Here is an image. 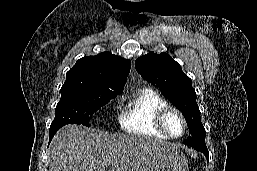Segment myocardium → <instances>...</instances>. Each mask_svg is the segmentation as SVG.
<instances>
[{
  "mask_svg": "<svg viewBox=\"0 0 257 171\" xmlns=\"http://www.w3.org/2000/svg\"><path fill=\"white\" fill-rule=\"evenodd\" d=\"M171 112L178 114V116L180 117V119L182 120V123H183V132L178 136L172 135L166 127V123H165L166 117ZM156 127L168 138L179 139L186 134L187 129H188V123H187L185 115L183 114V112L180 109H178L174 106L167 105L166 107L162 108L158 112V114L156 116Z\"/></svg>",
  "mask_w": 257,
  "mask_h": 171,
  "instance_id": "f54148a6",
  "label": "myocardium"
}]
</instances>
